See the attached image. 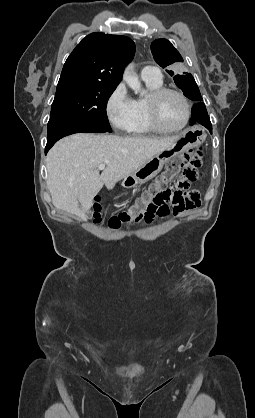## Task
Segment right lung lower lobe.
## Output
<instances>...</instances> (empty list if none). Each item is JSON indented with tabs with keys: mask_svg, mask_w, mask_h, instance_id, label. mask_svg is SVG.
<instances>
[{
	"mask_svg": "<svg viewBox=\"0 0 255 418\" xmlns=\"http://www.w3.org/2000/svg\"><path fill=\"white\" fill-rule=\"evenodd\" d=\"M91 132V133H105L108 132L96 125L75 122V121H62L49 124L47 127V145L45 147V154L55 144V142L67 135Z\"/></svg>",
	"mask_w": 255,
	"mask_h": 418,
	"instance_id": "1",
	"label": "right lung lower lobe"
}]
</instances>
